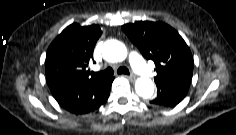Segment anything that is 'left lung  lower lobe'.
<instances>
[{"label":"left lung lower lobe","instance_id":"1","mask_svg":"<svg viewBox=\"0 0 236 135\" xmlns=\"http://www.w3.org/2000/svg\"><path fill=\"white\" fill-rule=\"evenodd\" d=\"M156 85L157 97L150 103L158 107H174L185 98L190 87V80H165L157 82Z\"/></svg>","mask_w":236,"mask_h":135}]
</instances>
